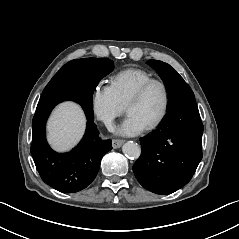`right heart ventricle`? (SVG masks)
Listing matches in <instances>:
<instances>
[{"mask_svg": "<svg viewBox=\"0 0 239 239\" xmlns=\"http://www.w3.org/2000/svg\"><path fill=\"white\" fill-rule=\"evenodd\" d=\"M152 78V74L144 69L126 68L110 77V85L122 104L126 106L129 98L137 88Z\"/></svg>", "mask_w": 239, "mask_h": 239, "instance_id": "e07e8e85", "label": "right heart ventricle"}]
</instances>
